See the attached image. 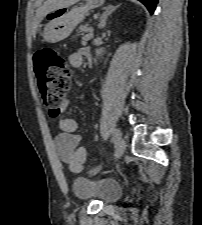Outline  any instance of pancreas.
Instances as JSON below:
<instances>
[{"mask_svg": "<svg viewBox=\"0 0 202 225\" xmlns=\"http://www.w3.org/2000/svg\"><path fill=\"white\" fill-rule=\"evenodd\" d=\"M88 30H89V28H88L87 25H80L78 30H77V33L80 35V34H82V32H85V31H88Z\"/></svg>", "mask_w": 202, "mask_h": 225, "instance_id": "obj_1", "label": "pancreas"}]
</instances>
